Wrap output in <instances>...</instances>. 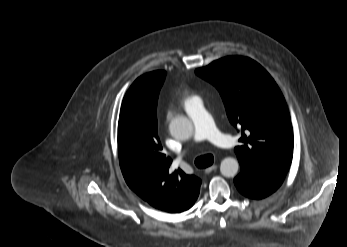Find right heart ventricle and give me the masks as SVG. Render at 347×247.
<instances>
[{"mask_svg": "<svg viewBox=\"0 0 347 247\" xmlns=\"http://www.w3.org/2000/svg\"><path fill=\"white\" fill-rule=\"evenodd\" d=\"M192 97H187V99H186V102L188 101V100H190Z\"/></svg>", "mask_w": 347, "mask_h": 247, "instance_id": "e07e8e85", "label": "right heart ventricle"}]
</instances>
